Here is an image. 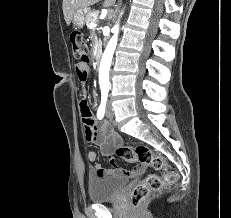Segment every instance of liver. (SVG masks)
I'll use <instances>...</instances> for the list:
<instances>
[{"label":"liver","instance_id":"1","mask_svg":"<svg viewBox=\"0 0 231 218\" xmlns=\"http://www.w3.org/2000/svg\"><path fill=\"white\" fill-rule=\"evenodd\" d=\"M100 0H63V14L67 25H70L73 14L81 8H88ZM116 0H104L103 7H110Z\"/></svg>","mask_w":231,"mask_h":218}]
</instances>
